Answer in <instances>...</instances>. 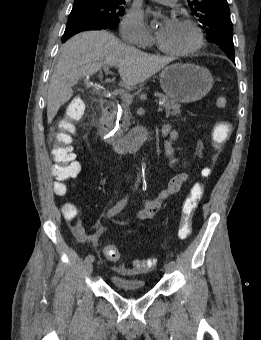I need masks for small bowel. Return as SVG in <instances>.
<instances>
[{"instance_id":"obj_1","label":"small bowel","mask_w":261,"mask_h":340,"mask_svg":"<svg viewBox=\"0 0 261 340\" xmlns=\"http://www.w3.org/2000/svg\"><path fill=\"white\" fill-rule=\"evenodd\" d=\"M162 136L164 138V152L165 157L170 166L174 167L177 163V158L175 154V149L173 147V142L177 138V132L172 129L171 126L166 125L162 130ZM187 175L185 173H177L168 182L165 189H163L160 194L154 198L145 200L141 210L138 212V218L145 219L152 217L161 207L163 201L168 197L178 193L182 185L186 182ZM65 218L72 222V231L77 239L81 242H87L95 244L105 233V228L102 226H97L96 231L92 234H88L80 219V211L74 206V213L72 215H67L64 213Z\"/></svg>"}]
</instances>
